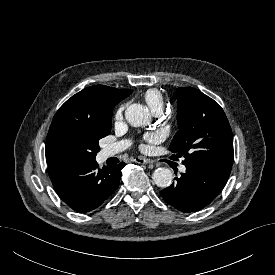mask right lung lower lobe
<instances>
[{
  "mask_svg": "<svg viewBox=\"0 0 275 275\" xmlns=\"http://www.w3.org/2000/svg\"><path fill=\"white\" fill-rule=\"evenodd\" d=\"M121 162L98 168L96 161L83 164L49 165L48 174L59 197L77 212H89L99 207L118 188Z\"/></svg>",
  "mask_w": 275,
  "mask_h": 275,
  "instance_id": "right-lung-lower-lobe-1",
  "label": "right lung lower lobe"
}]
</instances>
